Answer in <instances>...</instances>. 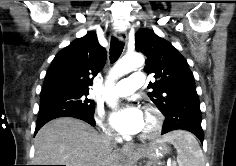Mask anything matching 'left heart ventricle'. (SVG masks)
Wrapping results in <instances>:
<instances>
[{"label": "left heart ventricle", "mask_w": 236, "mask_h": 166, "mask_svg": "<svg viewBox=\"0 0 236 166\" xmlns=\"http://www.w3.org/2000/svg\"><path fill=\"white\" fill-rule=\"evenodd\" d=\"M145 125L143 130L141 131V133L145 132L146 130H148L151 126H152V121L151 119L145 114Z\"/></svg>", "instance_id": "left-heart-ventricle-1"}]
</instances>
